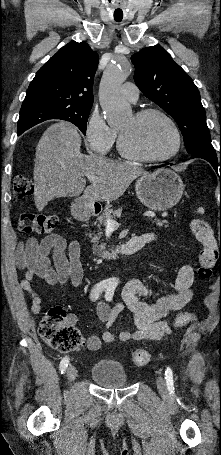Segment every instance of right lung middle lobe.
Wrapping results in <instances>:
<instances>
[{"label":"right lung middle lobe","instance_id":"1","mask_svg":"<svg viewBox=\"0 0 221 455\" xmlns=\"http://www.w3.org/2000/svg\"><path fill=\"white\" fill-rule=\"evenodd\" d=\"M92 104L72 102H40L22 105L17 126L18 135L48 119L72 122L86 134L88 116Z\"/></svg>","mask_w":221,"mask_h":455}]
</instances>
